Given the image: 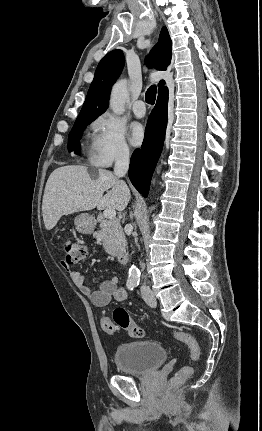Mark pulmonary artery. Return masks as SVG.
I'll list each match as a JSON object with an SVG mask.
<instances>
[{
	"mask_svg": "<svg viewBox=\"0 0 262 431\" xmlns=\"http://www.w3.org/2000/svg\"><path fill=\"white\" fill-rule=\"evenodd\" d=\"M132 111L136 117H143L146 113L144 101L141 99L136 100L133 103Z\"/></svg>",
	"mask_w": 262,
	"mask_h": 431,
	"instance_id": "obj_1",
	"label": "pulmonary artery"
}]
</instances>
